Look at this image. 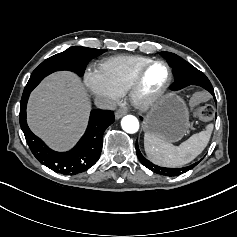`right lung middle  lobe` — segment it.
Here are the masks:
<instances>
[{"mask_svg": "<svg viewBox=\"0 0 237 237\" xmlns=\"http://www.w3.org/2000/svg\"><path fill=\"white\" fill-rule=\"evenodd\" d=\"M106 50L86 47H70L44 60L31 74L25 89L33 90L47 75L60 70H69L82 76L87 63Z\"/></svg>", "mask_w": 237, "mask_h": 237, "instance_id": "obj_1", "label": "right lung middle lobe"}]
</instances>
